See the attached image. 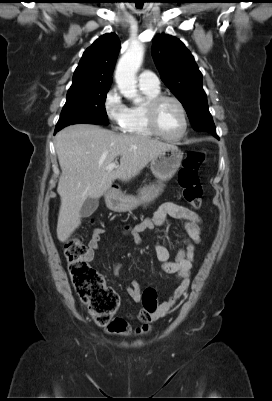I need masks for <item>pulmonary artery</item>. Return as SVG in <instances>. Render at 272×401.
Returning a JSON list of instances; mask_svg holds the SVG:
<instances>
[{"label":"pulmonary artery","mask_w":272,"mask_h":401,"mask_svg":"<svg viewBox=\"0 0 272 401\" xmlns=\"http://www.w3.org/2000/svg\"><path fill=\"white\" fill-rule=\"evenodd\" d=\"M139 86L146 89H158L160 87L159 78L151 71H143L138 78Z\"/></svg>","instance_id":"1"}]
</instances>
